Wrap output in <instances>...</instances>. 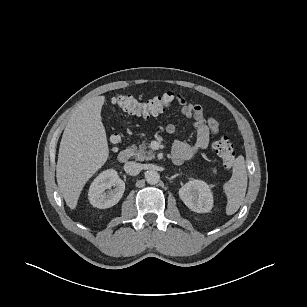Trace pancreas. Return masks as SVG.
I'll use <instances>...</instances> for the list:
<instances>
[{
	"label": "pancreas",
	"mask_w": 307,
	"mask_h": 307,
	"mask_svg": "<svg viewBox=\"0 0 307 307\" xmlns=\"http://www.w3.org/2000/svg\"><path fill=\"white\" fill-rule=\"evenodd\" d=\"M147 148L149 147L145 142H143L138 147L136 145H132L130 147L133 156L138 161L152 160L154 158L155 156L154 152L151 149L147 150ZM216 172H217L216 168H212V173L216 174Z\"/></svg>",
	"instance_id": "obj_1"
}]
</instances>
